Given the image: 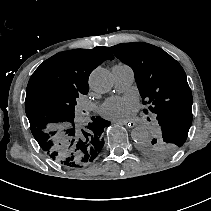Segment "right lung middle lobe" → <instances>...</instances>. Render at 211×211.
<instances>
[{
    "instance_id": "obj_1",
    "label": "right lung middle lobe",
    "mask_w": 211,
    "mask_h": 211,
    "mask_svg": "<svg viewBox=\"0 0 211 211\" xmlns=\"http://www.w3.org/2000/svg\"><path fill=\"white\" fill-rule=\"evenodd\" d=\"M78 97L76 92L45 93L37 111L43 123L31 130L49 158L70 167L85 164L81 143H90L95 136H101L108 125L100 117H92L88 125H83L75 112Z\"/></svg>"
}]
</instances>
